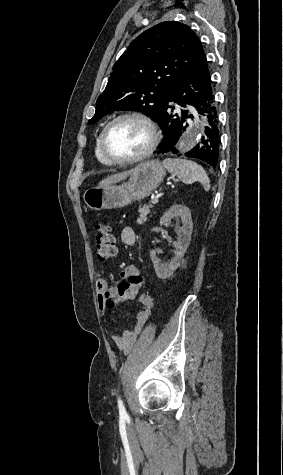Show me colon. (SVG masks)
<instances>
[{
    "instance_id": "obj_1",
    "label": "colon",
    "mask_w": 283,
    "mask_h": 475,
    "mask_svg": "<svg viewBox=\"0 0 283 475\" xmlns=\"http://www.w3.org/2000/svg\"><path fill=\"white\" fill-rule=\"evenodd\" d=\"M94 228L96 230V258L99 262H106L117 253L113 231L109 225L103 223H95ZM128 281L129 283L120 281L119 285L116 287V292L119 294L117 301L122 304L127 303V301H131L133 296L139 291L137 285L140 284L141 277L136 274H131ZM114 302V299L106 298V303L109 306H112Z\"/></svg>"
}]
</instances>
